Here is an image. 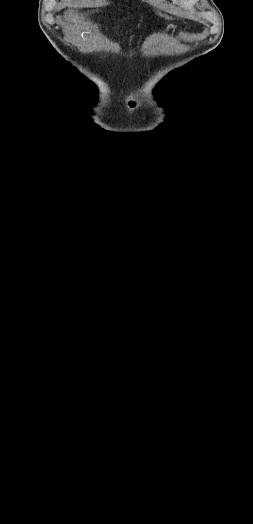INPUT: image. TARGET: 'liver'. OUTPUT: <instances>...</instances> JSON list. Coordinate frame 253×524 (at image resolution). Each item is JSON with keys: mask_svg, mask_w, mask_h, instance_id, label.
Segmentation results:
<instances>
[{"mask_svg": "<svg viewBox=\"0 0 253 524\" xmlns=\"http://www.w3.org/2000/svg\"><path fill=\"white\" fill-rule=\"evenodd\" d=\"M65 18L67 22L74 23L77 27H85V29L88 30L89 26L87 23H83L82 19L79 17V15L74 10H67L65 11Z\"/></svg>", "mask_w": 253, "mask_h": 524, "instance_id": "liver-1", "label": "liver"}]
</instances>
